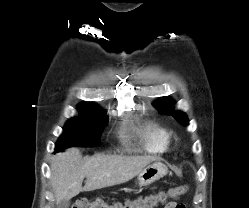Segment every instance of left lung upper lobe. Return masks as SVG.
Wrapping results in <instances>:
<instances>
[{
	"label": "left lung upper lobe",
	"instance_id": "obj_1",
	"mask_svg": "<svg viewBox=\"0 0 249 208\" xmlns=\"http://www.w3.org/2000/svg\"><path fill=\"white\" fill-rule=\"evenodd\" d=\"M174 102L170 99H160L154 103L155 108L173 116L176 120L184 125H188V120L184 113L179 111H174Z\"/></svg>",
	"mask_w": 249,
	"mask_h": 208
}]
</instances>
